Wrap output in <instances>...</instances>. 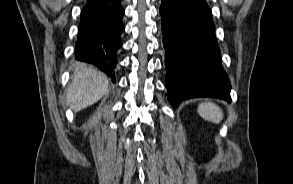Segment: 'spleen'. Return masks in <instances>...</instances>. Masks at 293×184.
Returning a JSON list of instances; mask_svg holds the SVG:
<instances>
[{
    "mask_svg": "<svg viewBox=\"0 0 293 184\" xmlns=\"http://www.w3.org/2000/svg\"><path fill=\"white\" fill-rule=\"evenodd\" d=\"M199 115L213 123H220L223 119V112L219 106L212 102H204L198 106Z\"/></svg>",
    "mask_w": 293,
    "mask_h": 184,
    "instance_id": "obj_1",
    "label": "spleen"
}]
</instances>
